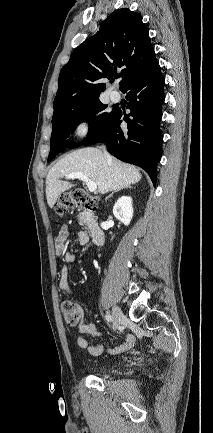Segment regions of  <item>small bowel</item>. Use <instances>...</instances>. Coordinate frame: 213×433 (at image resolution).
<instances>
[{
    "label": "small bowel",
    "mask_w": 213,
    "mask_h": 433,
    "mask_svg": "<svg viewBox=\"0 0 213 433\" xmlns=\"http://www.w3.org/2000/svg\"><path fill=\"white\" fill-rule=\"evenodd\" d=\"M68 236H69V227L67 225H63L54 240V246H55V253L57 256H59L63 262V265L61 266L60 269V281H59V286L61 289L63 290H69L70 289V285L68 282V275H69V269H68V264L72 263L75 261L76 256L74 253L72 252H68L66 250V244H67V240H68ZM89 234L86 233L85 231H79L77 234V240L79 245L84 246L85 244H87V242L89 241ZM100 250V247H98V251ZM79 332L81 334H86V335H92V336H98L100 333L98 332L96 325L93 323H81L79 325ZM77 345L80 348H87L88 351L93 354V355H97L100 354L103 351V345L98 344V345H89L87 340L80 336L77 338ZM135 344V337L131 334L127 335L126 338L124 339V341L113 348L109 349V352L111 354H118V353H122L124 351L129 350L133 345Z\"/></svg>",
    "instance_id": "c3829d8e"
}]
</instances>
